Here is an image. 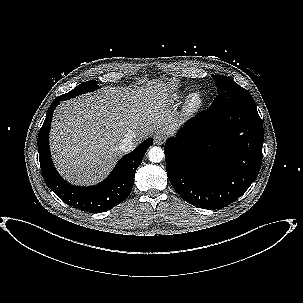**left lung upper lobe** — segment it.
Returning <instances> with one entry per match:
<instances>
[{
    "instance_id": "1",
    "label": "left lung upper lobe",
    "mask_w": 303,
    "mask_h": 303,
    "mask_svg": "<svg viewBox=\"0 0 303 303\" xmlns=\"http://www.w3.org/2000/svg\"><path fill=\"white\" fill-rule=\"evenodd\" d=\"M217 85V97L209 108H224L238 105H255L251 94L229 77L212 75Z\"/></svg>"
}]
</instances>
